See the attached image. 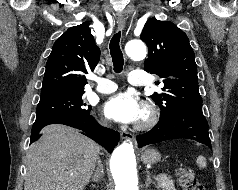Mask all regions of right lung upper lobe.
<instances>
[{
	"label": "right lung upper lobe",
	"instance_id": "obj_1",
	"mask_svg": "<svg viewBox=\"0 0 238 190\" xmlns=\"http://www.w3.org/2000/svg\"><path fill=\"white\" fill-rule=\"evenodd\" d=\"M100 58L89 23L69 28L54 43L46 63L41 97L84 92L85 74Z\"/></svg>",
	"mask_w": 238,
	"mask_h": 190
}]
</instances>
